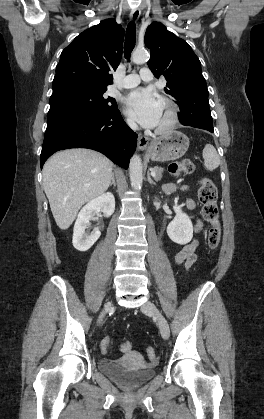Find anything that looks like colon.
<instances>
[{"instance_id":"5ec220e1","label":"colon","mask_w":264,"mask_h":419,"mask_svg":"<svg viewBox=\"0 0 264 419\" xmlns=\"http://www.w3.org/2000/svg\"><path fill=\"white\" fill-rule=\"evenodd\" d=\"M171 175L190 174L194 171V164L190 160L172 162L168 166ZM198 199L202 205L201 213L206 222L210 224L208 232V245L211 249H216L220 242L221 229L219 223V212L217 207V189L214 183L208 178H202L199 181ZM124 349H130L131 344L126 342L122 344ZM121 346V347H122ZM112 342L109 337L103 339L101 343L102 351L109 352ZM150 360L156 358V350L148 347L146 350Z\"/></svg>"}]
</instances>
